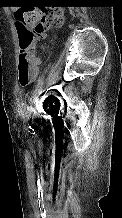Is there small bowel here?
<instances>
[{"label": "small bowel", "instance_id": "small-bowel-1", "mask_svg": "<svg viewBox=\"0 0 122 218\" xmlns=\"http://www.w3.org/2000/svg\"><path fill=\"white\" fill-rule=\"evenodd\" d=\"M38 64H39V59H36V74H37V70H38Z\"/></svg>", "mask_w": 122, "mask_h": 218}]
</instances>
